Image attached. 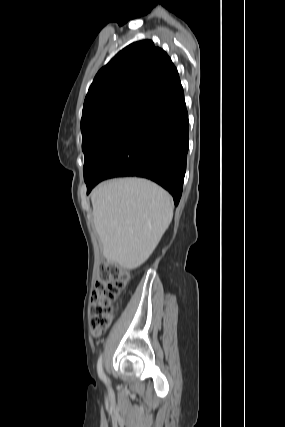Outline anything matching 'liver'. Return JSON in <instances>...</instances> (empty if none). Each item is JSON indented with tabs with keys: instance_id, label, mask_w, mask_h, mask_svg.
<instances>
[{
	"instance_id": "6515ba94",
	"label": "liver",
	"mask_w": 285,
	"mask_h": 427,
	"mask_svg": "<svg viewBox=\"0 0 285 427\" xmlns=\"http://www.w3.org/2000/svg\"><path fill=\"white\" fill-rule=\"evenodd\" d=\"M91 202L105 258L127 268L149 258L173 218L169 193L141 178L103 182L92 191Z\"/></svg>"
}]
</instances>
